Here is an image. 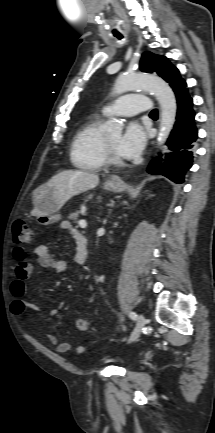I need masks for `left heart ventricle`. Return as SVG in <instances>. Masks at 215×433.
<instances>
[{"mask_svg": "<svg viewBox=\"0 0 215 433\" xmlns=\"http://www.w3.org/2000/svg\"><path fill=\"white\" fill-rule=\"evenodd\" d=\"M119 139H120V134H113V135H108L107 136L108 142L113 147V149L115 150V152H116L117 155H119L118 152H117V149H116L117 143H118Z\"/></svg>", "mask_w": 215, "mask_h": 433, "instance_id": "1", "label": "left heart ventricle"}]
</instances>
